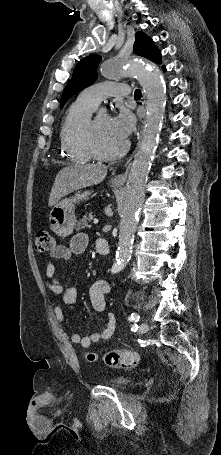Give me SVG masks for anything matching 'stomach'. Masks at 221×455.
Masks as SVG:
<instances>
[{
	"mask_svg": "<svg viewBox=\"0 0 221 455\" xmlns=\"http://www.w3.org/2000/svg\"><path fill=\"white\" fill-rule=\"evenodd\" d=\"M91 192L85 190L77 192L74 196L59 200L51 209L49 223L51 230L60 237H68L75 228V204L87 200Z\"/></svg>",
	"mask_w": 221,
	"mask_h": 455,
	"instance_id": "obj_1",
	"label": "stomach"
}]
</instances>
